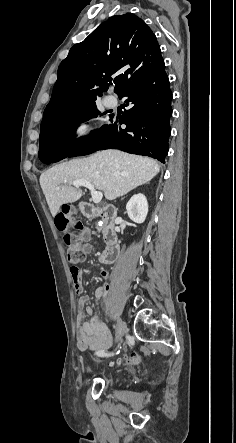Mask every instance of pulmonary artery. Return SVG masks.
Instances as JSON below:
<instances>
[{
  "label": "pulmonary artery",
  "mask_w": 236,
  "mask_h": 443,
  "mask_svg": "<svg viewBox=\"0 0 236 443\" xmlns=\"http://www.w3.org/2000/svg\"><path fill=\"white\" fill-rule=\"evenodd\" d=\"M118 102L115 96L109 95L106 96L104 99V105L107 108H115L117 106Z\"/></svg>",
  "instance_id": "obj_1"
}]
</instances>
